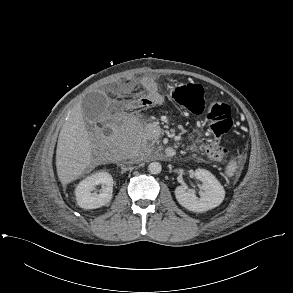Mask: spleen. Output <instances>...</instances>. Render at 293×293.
I'll list each match as a JSON object with an SVG mask.
<instances>
[{"mask_svg":"<svg viewBox=\"0 0 293 293\" xmlns=\"http://www.w3.org/2000/svg\"><path fill=\"white\" fill-rule=\"evenodd\" d=\"M235 168L236 163L234 161L230 162L229 166L227 167V174L231 175Z\"/></svg>","mask_w":293,"mask_h":293,"instance_id":"obj_1","label":"spleen"}]
</instances>
